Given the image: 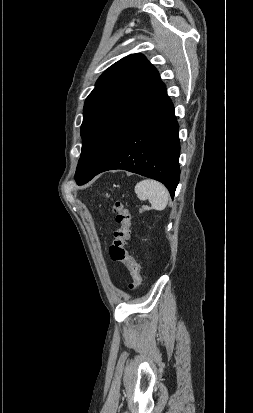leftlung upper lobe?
Instances as JSON below:
<instances>
[{
	"instance_id": "left-lung-upper-lobe-1",
	"label": "left lung upper lobe",
	"mask_w": 253,
	"mask_h": 413,
	"mask_svg": "<svg viewBox=\"0 0 253 413\" xmlns=\"http://www.w3.org/2000/svg\"><path fill=\"white\" fill-rule=\"evenodd\" d=\"M165 92L157 70L142 54L122 58L100 76L84 104L78 184L105 163Z\"/></svg>"
}]
</instances>
